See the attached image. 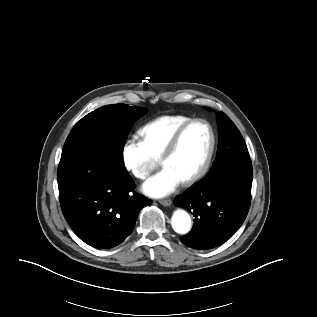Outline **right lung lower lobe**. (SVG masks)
I'll use <instances>...</instances> for the list:
<instances>
[{"label":"right lung lower lobe","mask_w":317,"mask_h":317,"mask_svg":"<svg viewBox=\"0 0 317 317\" xmlns=\"http://www.w3.org/2000/svg\"><path fill=\"white\" fill-rule=\"evenodd\" d=\"M63 215L85 243L97 249L113 248L129 236L140 210L151 200L132 191L133 180L124 165L97 159L59 179Z\"/></svg>","instance_id":"right-lung-lower-lobe-1"}]
</instances>
